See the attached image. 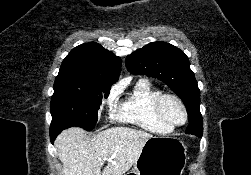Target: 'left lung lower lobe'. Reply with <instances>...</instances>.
Wrapping results in <instances>:
<instances>
[{"label": "left lung lower lobe", "mask_w": 251, "mask_h": 175, "mask_svg": "<svg viewBox=\"0 0 251 175\" xmlns=\"http://www.w3.org/2000/svg\"><path fill=\"white\" fill-rule=\"evenodd\" d=\"M187 112H188V118H189V120H191L193 118V116L196 115L195 111H187Z\"/></svg>", "instance_id": "0a47b994"}]
</instances>
